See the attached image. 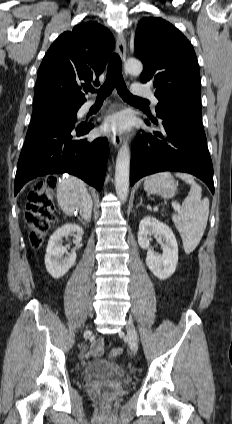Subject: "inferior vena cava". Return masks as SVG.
I'll use <instances>...</instances> for the list:
<instances>
[{
	"instance_id": "inferior-vena-cava-1",
	"label": "inferior vena cava",
	"mask_w": 232,
	"mask_h": 424,
	"mask_svg": "<svg viewBox=\"0 0 232 424\" xmlns=\"http://www.w3.org/2000/svg\"><path fill=\"white\" fill-rule=\"evenodd\" d=\"M92 200L89 194H85L81 198L80 202V214L83 218L89 219L92 211Z\"/></svg>"
}]
</instances>
